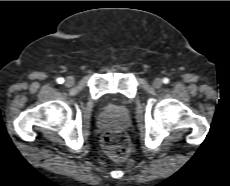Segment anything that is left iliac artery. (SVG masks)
Masks as SVG:
<instances>
[{
  "mask_svg": "<svg viewBox=\"0 0 230 186\" xmlns=\"http://www.w3.org/2000/svg\"><path fill=\"white\" fill-rule=\"evenodd\" d=\"M163 83H165V84H167V83H169V79L168 78H163Z\"/></svg>",
  "mask_w": 230,
  "mask_h": 186,
  "instance_id": "obj_1",
  "label": "left iliac artery"
}]
</instances>
